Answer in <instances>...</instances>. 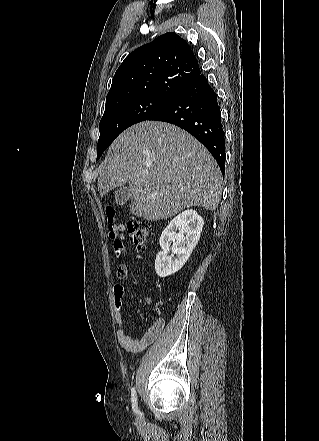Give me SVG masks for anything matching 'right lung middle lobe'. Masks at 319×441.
<instances>
[{
    "label": "right lung middle lobe",
    "instance_id": "1",
    "mask_svg": "<svg viewBox=\"0 0 319 441\" xmlns=\"http://www.w3.org/2000/svg\"><path fill=\"white\" fill-rule=\"evenodd\" d=\"M170 101L171 99L167 98L146 96L124 101L105 109L99 124L97 160L122 131L133 124L148 120Z\"/></svg>",
    "mask_w": 319,
    "mask_h": 441
}]
</instances>
